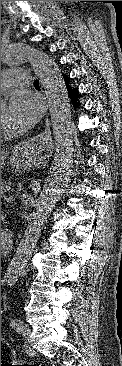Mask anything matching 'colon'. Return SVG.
<instances>
[{"label": "colon", "instance_id": "5ec220e1", "mask_svg": "<svg viewBox=\"0 0 122 366\" xmlns=\"http://www.w3.org/2000/svg\"><path fill=\"white\" fill-rule=\"evenodd\" d=\"M1 359L4 362H12L13 358H12V354L10 351V347L8 346V344H6L5 342L1 341ZM6 366H13L10 363H6ZM4 366V365H3ZM24 366H35V365H24Z\"/></svg>", "mask_w": 122, "mask_h": 366}]
</instances>
